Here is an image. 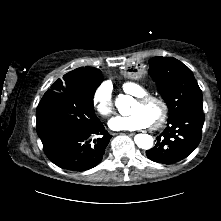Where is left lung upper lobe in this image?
I'll use <instances>...</instances> for the list:
<instances>
[{"mask_svg":"<svg viewBox=\"0 0 221 221\" xmlns=\"http://www.w3.org/2000/svg\"><path fill=\"white\" fill-rule=\"evenodd\" d=\"M149 65V74L156 81L160 94L169 107V120L185 112L203 108L202 91L186 65L173 57H154ZM175 149L174 142L167 145L164 147V156L170 158Z\"/></svg>","mask_w":221,"mask_h":221,"instance_id":"1","label":"left lung upper lobe"}]
</instances>
